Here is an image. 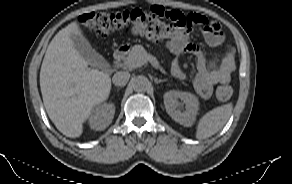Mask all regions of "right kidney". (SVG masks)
I'll list each match as a JSON object with an SVG mask.
<instances>
[{
    "label": "right kidney",
    "mask_w": 292,
    "mask_h": 184,
    "mask_svg": "<svg viewBox=\"0 0 292 184\" xmlns=\"http://www.w3.org/2000/svg\"><path fill=\"white\" fill-rule=\"evenodd\" d=\"M114 114L115 106L113 103H104L96 107L88 118L90 128L96 131L104 130L111 124Z\"/></svg>",
    "instance_id": "obj_1"
}]
</instances>
